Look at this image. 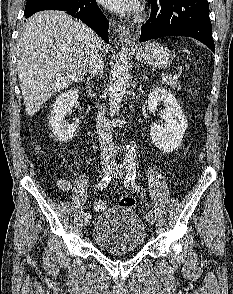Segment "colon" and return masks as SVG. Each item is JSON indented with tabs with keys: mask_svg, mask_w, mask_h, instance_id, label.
<instances>
[{
	"mask_svg": "<svg viewBox=\"0 0 233 294\" xmlns=\"http://www.w3.org/2000/svg\"><path fill=\"white\" fill-rule=\"evenodd\" d=\"M120 205L123 207H133L135 205V200L134 198L130 196H124L120 199ZM104 206H97V208L102 209Z\"/></svg>",
	"mask_w": 233,
	"mask_h": 294,
	"instance_id": "5ec220e1",
	"label": "colon"
}]
</instances>
